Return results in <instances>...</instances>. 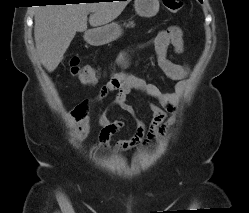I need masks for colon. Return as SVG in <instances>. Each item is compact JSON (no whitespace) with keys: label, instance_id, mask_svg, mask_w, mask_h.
I'll return each mask as SVG.
<instances>
[{"label":"colon","instance_id":"5ec220e1","mask_svg":"<svg viewBox=\"0 0 249 213\" xmlns=\"http://www.w3.org/2000/svg\"><path fill=\"white\" fill-rule=\"evenodd\" d=\"M163 5L171 12H178L183 8L182 0H163ZM70 71L81 83L89 85L93 84L99 74L91 65L81 64L77 57L70 59Z\"/></svg>","mask_w":249,"mask_h":213}]
</instances>
